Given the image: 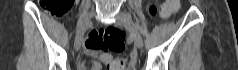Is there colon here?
I'll list each match as a JSON object with an SVG mask.
<instances>
[{
    "mask_svg": "<svg viewBox=\"0 0 238 70\" xmlns=\"http://www.w3.org/2000/svg\"><path fill=\"white\" fill-rule=\"evenodd\" d=\"M71 0H43V7L53 16L60 17L65 15L71 7ZM180 7L179 0H167L162 7H159L156 2H151L148 6L149 14L152 17L162 14L167 16L176 12ZM97 43L102 49L112 51H122L125 47V33L115 27L101 29L95 33ZM109 70H123L125 67L124 59H114L107 62Z\"/></svg>",
    "mask_w": 238,
    "mask_h": 70,
    "instance_id": "1",
    "label": "colon"
}]
</instances>
